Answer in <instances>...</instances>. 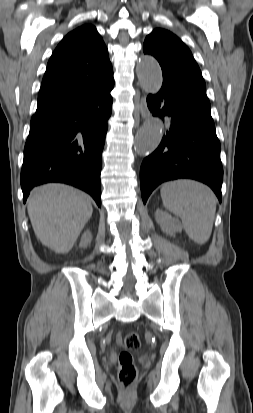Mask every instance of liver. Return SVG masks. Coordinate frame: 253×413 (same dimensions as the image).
<instances>
[{"label": "liver", "instance_id": "obj_1", "mask_svg": "<svg viewBox=\"0 0 253 413\" xmlns=\"http://www.w3.org/2000/svg\"><path fill=\"white\" fill-rule=\"evenodd\" d=\"M27 204L35 235L59 254L71 250L93 212L88 195L64 184L35 188Z\"/></svg>", "mask_w": 253, "mask_h": 413}]
</instances>
